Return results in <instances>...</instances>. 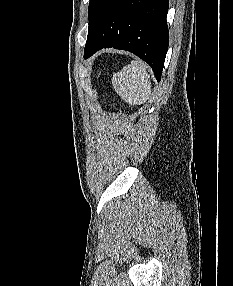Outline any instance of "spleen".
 Returning a JSON list of instances; mask_svg holds the SVG:
<instances>
[{
  "instance_id": "3e777b00",
  "label": "spleen",
  "mask_w": 233,
  "mask_h": 286,
  "mask_svg": "<svg viewBox=\"0 0 233 286\" xmlns=\"http://www.w3.org/2000/svg\"><path fill=\"white\" fill-rule=\"evenodd\" d=\"M147 71V64L135 59L113 75L114 90L129 105H141L148 100L151 94V82Z\"/></svg>"
}]
</instances>
